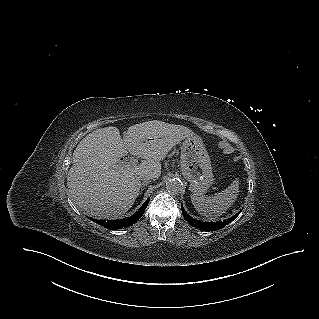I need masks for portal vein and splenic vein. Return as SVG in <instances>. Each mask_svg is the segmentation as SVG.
<instances>
[{
    "instance_id": "obj_1",
    "label": "portal vein and splenic vein",
    "mask_w": 319,
    "mask_h": 319,
    "mask_svg": "<svg viewBox=\"0 0 319 319\" xmlns=\"http://www.w3.org/2000/svg\"><path fill=\"white\" fill-rule=\"evenodd\" d=\"M137 163H138V159H136V158H131V159H129V160H126V161L121 162V165H122V166H130V165L136 166Z\"/></svg>"
}]
</instances>
